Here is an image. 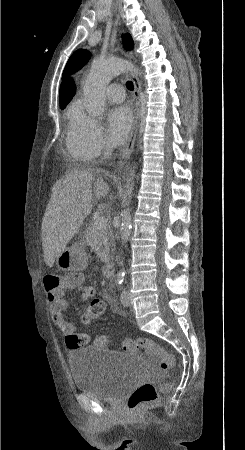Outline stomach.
I'll return each mask as SVG.
<instances>
[{"label":"stomach","instance_id":"obj_1","mask_svg":"<svg viewBox=\"0 0 245 450\" xmlns=\"http://www.w3.org/2000/svg\"><path fill=\"white\" fill-rule=\"evenodd\" d=\"M88 257L81 243L66 248L56 259V265L64 271H80L87 266Z\"/></svg>","mask_w":245,"mask_h":450}]
</instances>
